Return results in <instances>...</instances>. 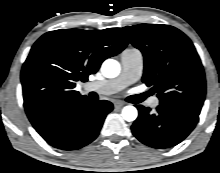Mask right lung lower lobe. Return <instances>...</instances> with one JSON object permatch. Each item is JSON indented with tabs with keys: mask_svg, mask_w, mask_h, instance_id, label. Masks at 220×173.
Wrapping results in <instances>:
<instances>
[{
	"mask_svg": "<svg viewBox=\"0 0 220 173\" xmlns=\"http://www.w3.org/2000/svg\"><path fill=\"white\" fill-rule=\"evenodd\" d=\"M112 109L109 101L96 103L79 94L29 116V120L51 146L77 150L98 136L105 117Z\"/></svg>",
	"mask_w": 220,
	"mask_h": 173,
	"instance_id": "98d812e1",
	"label": "right lung lower lobe"
}]
</instances>
